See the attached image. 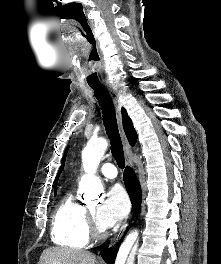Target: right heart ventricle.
I'll return each instance as SVG.
<instances>
[{
	"label": "right heart ventricle",
	"instance_id": "e07e8e85",
	"mask_svg": "<svg viewBox=\"0 0 221 264\" xmlns=\"http://www.w3.org/2000/svg\"><path fill=\"white\" fill-rule=\"evenodd\" d=\"M53 242L62 247L83 248L90 239V228L86 209L71 192L60 201L51 227Z\"/></svg>",
	"mask_w": 221,
	"mask_h": 264
}]
</instances>
